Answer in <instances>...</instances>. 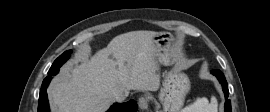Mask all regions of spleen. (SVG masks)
Listing matches in <instances>:
<instances>
[{
	"mask_svg": "<svg viewBox=\"0 0 270 112\" xmlns=\"http://www.w3.org/2000/svg\"><path fill=\"white\" fill-rule=\"evenodd\" d=\"M218 102L215 96L209 102L207 98H197L193 104L183 108L178 112H217Z\"/></svg>",
	"mask_w": 270,
	"mask_h": 112,
	"instance_id": "obj_1",
	"label": "spleen"
}]
</instances>
